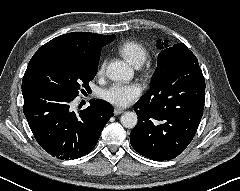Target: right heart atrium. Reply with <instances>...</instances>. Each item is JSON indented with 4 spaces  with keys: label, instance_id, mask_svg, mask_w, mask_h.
I'll use <instances>...</instances> for the list:
<instances>
[{
    "label": "right heart atrium",
    "instance_id": "obj_1",
    "mask_svg": "<svg viewBox=\"0 0 240 191\" xmlns=\"http://www.w3.org/2000/svg\"><path fill=\"white\" fill-rule=\"evenodd\" d=\"M105 70V62H102L100 65H99V68H98V71H97V74L98 75H101Z\"/></svg>",
    "mask_w": 240,
    "mask_h": 191
}]
</instances>
